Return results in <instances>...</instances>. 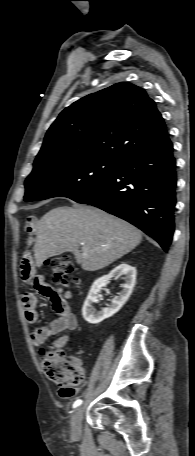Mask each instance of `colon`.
Wrapping results in <instances>:
<instances>
[{"instance_id":"5ec220e1","label":"colon","mask_w":195,"mask_h":456,"mask_svg":"<svg viewBox=\"0 0 195 456\" xmlns=\"http://www.w3.org/2000/svg\"><path fill=\"white\" fill-rule=\"evenodd\" d=\"M46 264L51 268L53 280L57 284L66 285L78 281L74 276V260L71 256L52 257ZM41 353L45 372L58 385L74 388L83 382L85 372L77 359L67 357L60 350H42Z\"/></svg>"}]
</instances>
